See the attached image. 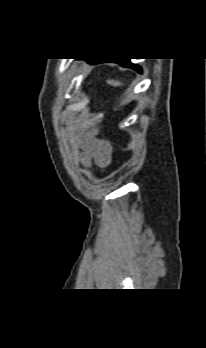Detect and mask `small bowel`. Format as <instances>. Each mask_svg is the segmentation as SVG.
<instances>
[{"mask_svg": "<svg viewBox=\"0 0 206 348\" xmlns=\"http://www.w3.org/2000/svg\"><path fill=\"white\" fill-rule=\"evenodd\" d=\"M79 140L83 150L82 162L85 165L94 163L100 168H106L110 164L112 147L109 142L93 136H80Z\"/></svg>", "mask_w": 206, "mask_h": 348, "instance_id": "obj_1", "label": "small bowel"}]
</instances>
